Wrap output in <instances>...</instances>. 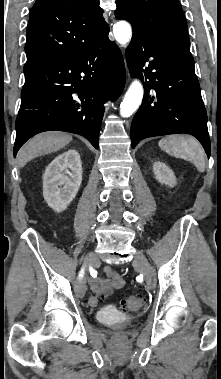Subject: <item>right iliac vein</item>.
<instances>
[{
  "label": "right iliac vein",
  "instance_id": "1",
  "mask_svg": "<svg viewBox=\"0 0 221 379\" xmlns=\"http://www.w3.org/2000/svg\"><path fill=\"white\" fill-rule=\"evenodd\" d=\"M97 261V256L94 252H89L84 260L85 266L93 265ZM75 291L79 297H84L86 292L85 279L79 280L75 285Z\"/></svg>",
  "mask_w": 221,
  "mask_h": 379
}]
</instances>
